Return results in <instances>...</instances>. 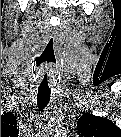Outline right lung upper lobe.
<instances>
[{
	"mask_svg": "<svg viewBox=\"0 0 121 137\" xmlns=\"http://www.w3.org/2000/svg\"><path fill=\"white\" fill-rule=\"evenodd\" d=\"M16 119L11 114H6L1 116V134L3 135H12L16 129Z\"/></svg>",
	"mask_w": 121,
	"mask_h": 137,
	"instance_id": "1",
	"label": "right lung upper lobe"
}]
</instances>
